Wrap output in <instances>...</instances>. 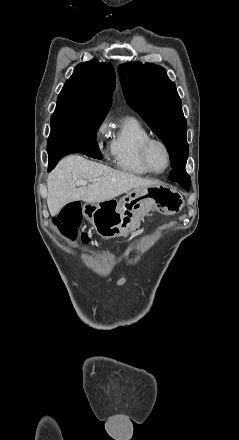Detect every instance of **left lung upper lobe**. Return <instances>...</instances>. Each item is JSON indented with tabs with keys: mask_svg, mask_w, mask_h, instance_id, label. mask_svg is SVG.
Segmentation results:
<instances>
[{
	"mask_svg": "<svg viewBox=\"0 0 239 440\" xmlns=\"http://www.w3.org/2000/svg\"><path fill=\"white\" fill-rule=\"evenodd\" d=\"M127 103L166 145L173 169L185 167L187 123L182 103L164 68L153 63H127L118 68Z\"/></svg>",
	"mask_w": 239,
	"mask_h": 440,
	"instance_id": "1",
	"label": "left lung upper lobe"
}]
</instances>
